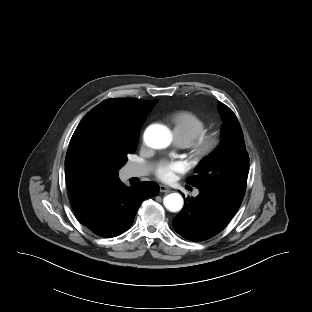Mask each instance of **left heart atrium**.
Returning a JSON list of instances; mask_svg holds the SVG:
<instances>
[{
  "label": "left heart atrium",
  "mask_w": 312,
  "mask_h": 312,
  "mask_svg": "<svg viewBox=\"0 0 312 312\" xmlns=\"http://www.w3.org/2000/svg\"><path fill=\"white\" fill-rule=\"evenodd\" d=\"M187 170V166L181 161H165L159 165L156 175L165 182L173 181L177 173H183Z\"/></svg>",
  "instance_id": "1"
}]
</instances>
